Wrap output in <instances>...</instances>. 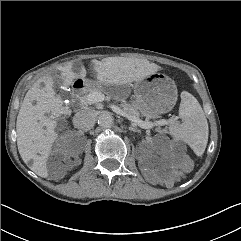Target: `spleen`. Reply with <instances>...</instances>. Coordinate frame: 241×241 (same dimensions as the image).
Returning a JSON list of instances; mask_svg holds the SVG:
<instances>
[{
    "mask_svg": "<svg viewBox=\"0 0 241 241\" xmlns=\"http://www.w3.org/2000/svg\"><path fill=\"white\" fill-rule=\"evenodd\" d=\"M179 117L183 122L170 129L173 137L187 143L197 156H201L208 142V123L202 107L190 93H181Z\"/></svg>",
    "mask_w": 241,
    "mask_h": 241,
    "instance_id": "obj_1",
    "label": "spleen"
}]
</instances>
